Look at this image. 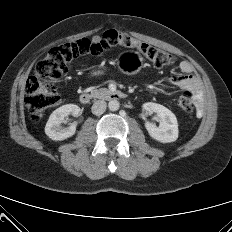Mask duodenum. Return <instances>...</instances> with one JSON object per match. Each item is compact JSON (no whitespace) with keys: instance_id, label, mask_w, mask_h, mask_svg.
<instances>
[{"instance_id":"410a0bca","label":"duodenum","mask_w":232,"mask_h":232,"mask_svg":"<svg viewBox=\"0 0 232 232\" xmlns=\"http://www.w3.org/2000/svg\"><path fill=\"white\" fill-rule=\"evenodd\" d=\"M125 96V94L121 91H106V92H100V93H94V92H84L80 95V102L82 104H88L92 99L95 97H101L108 100H119L122 99Z\"/></svg>"}]
</instances>
